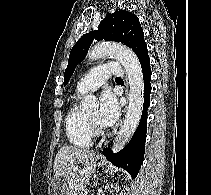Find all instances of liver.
Segmentation results:
<instances>
[{
    "label": "liver",
    "instance_id": "1",
    "mask_svg": "<svg viewBox=\"0 0 211 195\" xmlns=\"http://www.w3.org/2000/svg\"><path fill=\"white\" fill-rule=\"evenodd\" d=\"M53 168L55 176L67 182L68 191L61 189V194L77 195L95 173V152L76 146H62L56 154Z\"/></svg>",
    "mask_w": 211,
    "mask_h": 195
}]
</instances>
